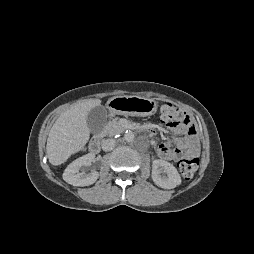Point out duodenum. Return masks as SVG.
<instances>
[{
  "label": "duodenum",
  "mask_w": 254,
  "mask_h": 254,
  "mask_svg": "<svg viewBox=\"0 0 254 254\" xmlns=\"http://www.w3.org/2000/svg\"><path fill=\"white\" fill-rule=\"evenodd\" d=\"M140 129L144 132L151 133V130L147 127H141ZM100 148H101V141L99 137H94L89 144V151L92 154H97L100 151Z\"/></svg>",
  "instance_id": "obj_1"
}]
</instances>
